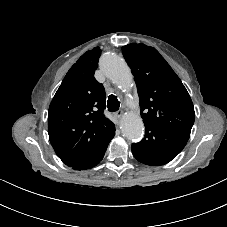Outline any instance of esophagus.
<instances>
[{"label": "esophagus", "instance_id": "34e87169", "mask_svg": "<svg viewBox=\"0 0 227 227\" xmlns=\"http://www.w3.org/2000/svg\"><path fill=\"white\" fill-rule=\"evenodd\" d=\"M114 115H115V117L119 120V119H121L122 116H123V111H117Z\"/></svg>", "mask_w": 227, "mask_h": 227}]
</instances>
